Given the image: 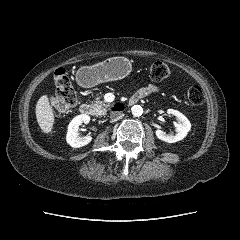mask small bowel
I'll use <instances>...</instances> for the list:
<instances>
[{
	"label": "small bowel",
	"mask_w": 240,
	"mask_h": 240,
	"mask_svg": "<svg viewBox=\"0 0 240 240\" xmlns=\"http://www.w3.org/2000/svg\"><path fill=\"white\" fill-rule=\"evenodd\" d=\"M160 91V87L156 84H149L140 90H138L137 94H139L142 98L148 97L152 94L158 93Z\"/></svg>",
	"instance_id": "1"
}]
</instances>
